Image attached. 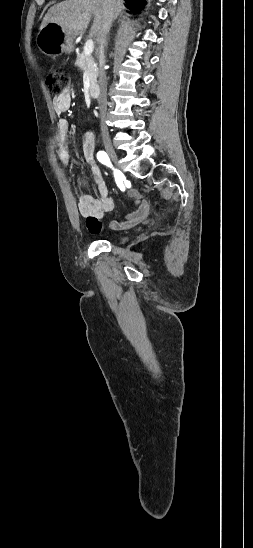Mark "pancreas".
Masks as SVG:
<instances>
[{
    "label": "pancreas",
    "instance_id": "pancreas-1",
    "mask_svg": "<svg viewBox=\"0 0 253 548\" xmlns=\"http://www.w3.org/2000/svg\"><path fill=\"white\" fill-rule=\"evenodd\" d=\"M75 65L85 71L90 79V87L93 88L97 82L98 69L97 64L92 56L85 55L84 52L77 55Z\"/></svg>",
    "mask_w": 253,
    "mask_h": 548
}]
</instances>
